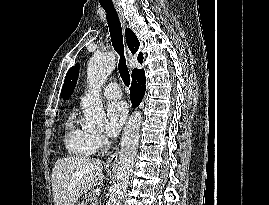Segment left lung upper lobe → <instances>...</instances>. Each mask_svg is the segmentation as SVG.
Masks as SVG:
<instances>
[{
  "label": "left lung upper lobe",
  "mask_w": 269,
  "mask_h": 205,
  "mask_svg": "<svg viewBox=\"0 0 269 205\" xmlns=\"http://www.w3.org/2000/svg\"><path fill=\"white\" fill-rule=\"evenodd\" d=\"M79 74V66L75 65L74 67L70 68L66 74L64 84L61 91V97L67 100L76 86L77 79Z\"/></svg>",
  "instance_id": "obj_1"
}]
</instances>
